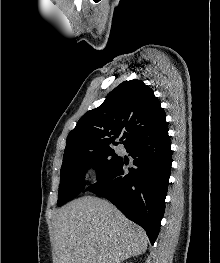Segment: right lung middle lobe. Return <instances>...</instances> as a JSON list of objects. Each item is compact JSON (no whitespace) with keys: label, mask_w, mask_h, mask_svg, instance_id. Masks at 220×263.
Wrapping results in <instances>:
<instances>
[{"label":"right lung middle lobe","mask_w":220,"mask_h":263,"mask_svg":"<svg viewBox=\"0 0 220 263\" xmlns=\"http://www.w3.org/2000/svg\"><path fill=\"white\" fill-rule=\"evenodd\" d=\"M119 160L120 157H117L110 147L65 153L60 171L58 206H62L81 193L84 189V175L88 168L96 169L99 180Z\"/></svg>","instance_id":"right-lung-middle-lobe-1"}]
</instances>
